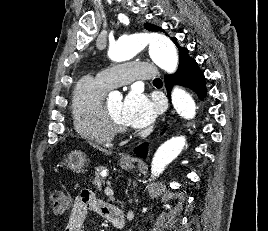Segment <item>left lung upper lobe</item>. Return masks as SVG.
Segmentation results:
<instances>
[{"label": "left lung upper lobe", "instance_id": "obj_1", "mask_svg": "<svg viewBox=\"0 0 268 231\" xmlns=\"http://www.w3.org/2000/svg\"><path fill=\"white\" fill-rule=\"evenodd\" d=\"M144 27L147 29V30H150V31H162V32H165L164 30H162L160 27L158 26H155L153 24H150V23H146L144 24ZM171 40L176 44V46L178 47V50H179V67L185 62L186 59H188L190 56L188 55V49L187 48H184V47H181L178 45L177 43V39L172 37Z\"/></svg>", "mask_w": 268, "mask_h": 231}]
</instances>
